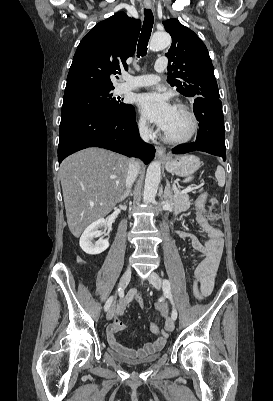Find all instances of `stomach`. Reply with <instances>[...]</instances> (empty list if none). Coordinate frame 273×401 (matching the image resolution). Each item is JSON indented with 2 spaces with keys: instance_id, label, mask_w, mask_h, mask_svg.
<instances>
[{
  "instance_id": "stomach-1",
  "label": "stomach",
  "mask_w": 273,
  "mask_h": 401,
  "mask_svg": "<svg viewBox=\"0 0 273 401\" xmlns=\"http://www.w3.org/2000/svg\"><path fill=\"white\" fill-rule=\"evenodd\" d=\"M163 164L172 174H178V176H187L186 180H191L192 174L198 170L201 166V162L194 154H183V156H177V158H164Z\"/></svg>"
}]
</instances>
